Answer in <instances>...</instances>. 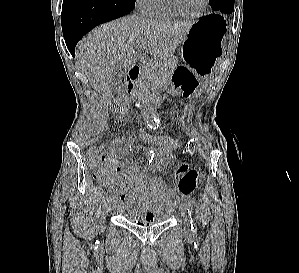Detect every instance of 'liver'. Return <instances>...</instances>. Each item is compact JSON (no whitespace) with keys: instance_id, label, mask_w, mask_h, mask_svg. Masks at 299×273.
Instances as JSON below:
<instances>
[{"instance_id":"1","label":"liver","mask_w":299,"mask_h":273,"mask_svg":"<svg viewBox=\"0 0 299 273\" xmlns=\"http://www.w3.org/2000/svg\"><path fill=\"white\" fill-rule=\"evenodd\" d=\"M194 23L122 17L93 29L84 37L76 47V58L90 85L107 102L115 96L110 88L114 67L120 64L127 74L138 61L135 50L138 43L155 59L167 60Z\"/></svg>"}]
</instances>
